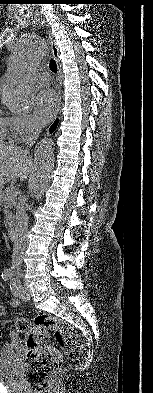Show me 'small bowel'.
<instances>
[{"instance_id": "1", "label": "small bowel", "mask_w": 153, "mask_h": 393, "mask_svg": "<svg viewBox=\"0 0 153 393\" xmlns=\"http://www.w3.org/2000/svg\"><path fill=\"white\" fill-rule=\"evenodd\" d=\"M9 304L11 307L16 308L20 305V300L17 297H12L9 300ZM7 314V309L0 304V317Z\"/></svg>"}]
</instances>
